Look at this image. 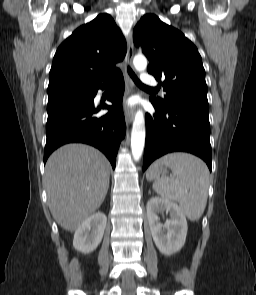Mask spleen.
<instances>
[{"label": "spleen", "mask_w": 256, "mask_h": 295, "mask_svg": "<svg viewBox=\"0 0 256 295\" xmlns=\"http://www.w3.org/2000/svg\"><path fill=\"white\" fill-rule=\"evenodd\" d=\"M166 165L174 172V178L158 177L160 166ZM209 170L199 158L187 153H171L156 160L146 178L154 180L153 189L161 197L179 203L184 214L197 221L207 204Z\"/></svg>", "instance_id": "obj_1"}]
</instances>
